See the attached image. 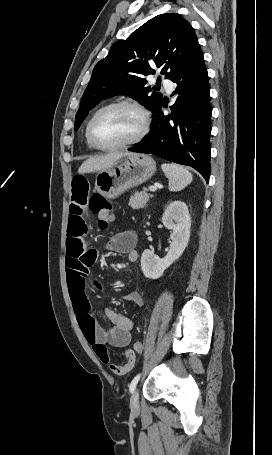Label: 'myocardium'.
I'll use <instances>...</instances> for the list:
<instances>
[{
    "instance_id": "1",
    "label": "myocardium",
    "mask_w": 272,
    "mask_h": 455,
    "mask_svg": "<svg viewBox=\"0 0 272 455\" xmlns=\"http://www.w3.org/2000/svg\"><path fill=\"white\" fill-rule=\"evenodd\" d=\"M119 106L131 107L139 113V115L141 117V121H142L141 129L134 138H132L128 141H125V142L117 144V145H112V146L101 145L100 143L97 142V140L94 137L93 128H94L95 121L97 120L99 115L101 113H103L104 111L114 108V107H119ZM150 123H151V120H150L149 112L139 102H137L133 99H128V98L118 99V100H114L112 102L107 103L106 105L99 108L93 114V116L91 117V119L87 125V136H88V140H89L90 144L97 150L105 151V152L118 151V150L132 147V146L140 143L147 136V134L150 130Z\"/></svg>"
}]
</instances>
